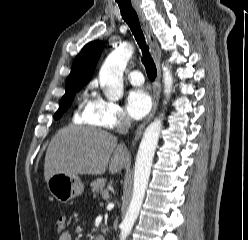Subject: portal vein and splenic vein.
I'll use <instances>...</instances> for the list:
<instances>
[{
    "label": "portal vein and splenic vein",
    "instance_id": "1",
    "mask_svg": "<svg viewBox=\"0 0 248 240\" xmlns=\"http://www.w3.org/2000/svg\"><path fill=\"white\" fill-rule=\"evenodd\" d=\"M102 197H103V198H108V197H109V193H108L107 191H104V192L102 193Z\"/></svg>",
    "mask_w": 248,
    "mask_h": 240
}]
</instances>
